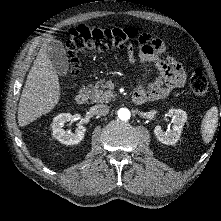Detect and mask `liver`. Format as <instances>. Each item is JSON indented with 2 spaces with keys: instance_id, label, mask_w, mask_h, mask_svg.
I'll list each match as a JSON object with an SVG mask.
<instances>
[{
  "instance_id": "liver-1",
  "label": "liver",
  "mask_w": 221,
  "mask_h": 221,
  "mask_svg": "<svg viewBox=\"0 0 221 221\" xmlns=\"http://www.w3.org/2000/svg\"><path fill=\"white\" fill-rule=\"evenodd\" d=\"M45 42L28 73L18 106L19 126H26L42 115L49 113L60 99V84L57 72L47 52Z\"/></svg>"
}]
</instances>
